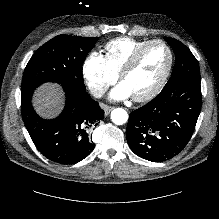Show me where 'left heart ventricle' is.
<instances>
[{
    "label": "left heart ventricle",
    "mask_w": 219,
    "mask_h": 219,
    "mask_svg": "<svg viewBox=\"0 0 219 219\" xmlns=\"http://www.w3.org/2000/svg\"><path fill=\"white\" fill-rule=\"evenodd\" d=\"M169 62L166 48L160 44L150 46L122 82L132 96L149 91L161 78Z\"/></svg>",
    "instance_id": "1"
}]
</instances>
